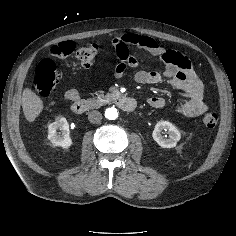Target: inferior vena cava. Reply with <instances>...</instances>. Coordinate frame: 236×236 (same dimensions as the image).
<instances>
[{
  "instance_id": "1",
  "label": "inferior vena cava",
  "mask_w": 236,
  "mask_h": 236,
  "mask_svg": "<svg viewBox=\"0 0 236 236\" xmlns=\"http://www.w3.org/2000/svg\"><path fill=\"white\" fill-rule=\"evenodd\" d=\"M102 117V114L97 110H93L88 114V120L93 124L99 123L102 120Z\"/></svg>"
}]
</instances>
